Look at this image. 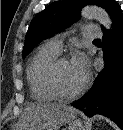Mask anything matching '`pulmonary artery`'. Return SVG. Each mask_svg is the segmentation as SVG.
Here are the masks:
<instances>
[{"mask_svg":"<svg viewBox=\"0 0 123 130\" xmlns=\"http://www.w3.org/2000/svg\"><path fill=\"white\" fill-rule=\"evenodd\" d=\"M83 36L87 39H97L102 36V31L101 29L93 24H88L83 27ZM50 47L58 51L59 53L62 50L63 46V39L60 36H55L51 39H49L46 42Z\"/></svg>","mask_w":123,"mask_h":130,"instance_id":"obj_1","label":"pulmonary artery"}]
</instances>
